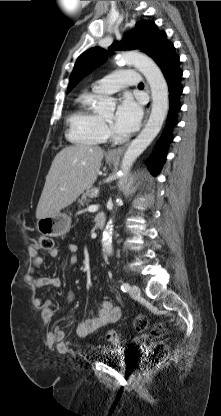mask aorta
Returning <instances> with one entry per match:
<instances>
[{
    "label": "aorta",
    "mask_w": 221,
    "mask_h": 416,
    "mask_svg": "<svg viewBox=\"0 0 221 416\" xmlns=\"http://www.w3.org/2000/svg\"><path fill=\"white\" fill-rule=\"evenodd\" d=\"M118 60L123 63L133 65L144 75L150 86L152 96V110L148 122L138 137L128 146L122 158L120 171V184L122 185V183L126 180L135 160L143 153V151L160 132L169 109V92L167 82L160 68L147 55L137 51H129L122 53L118 57ZM111 106L112 100L104 99L98 103L95 109L99 113H104L108 111ZM112 233L113 225L110 221L106 226L102 237V247L108 255L112 254L113 250Z\"/></svg>",
    "instance_id": "obj_1"
}]
</instances>
